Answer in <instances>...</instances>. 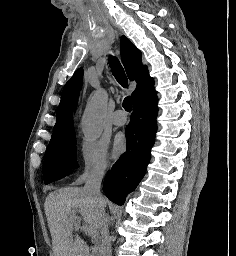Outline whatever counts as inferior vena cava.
<instances>
[{
  "instance_id": "1",
  "label": "inferior vena cava",
  "mask_w": 236,
  "mask_h": 256,
  "mask_svg": "<svg viewBox=\"0 0 236 256\" xmlns=\"http://www.w3.org/2000/svg\"><path fill=\"white\" fill-rule=\"evenodd\" d=\"M104 172L105 166H95V168H91V170H89L88 172L87 182L83 188V192L87 194L88 198L96 202L98 208H100L99 212H104L103 206L105 204V200H103L100 194V186L102 178L104 176ZM107 222L108 220L106 216H104V222L100 228L102 238L101 256H112L111 242Z\"/></svg>"
}]
</instances>
